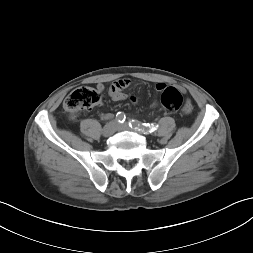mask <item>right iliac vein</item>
<instances>
[{"mask_svg":"<svg viewBox=\"0 0 253 253\" xmlns=\"http://www.w3.org/2000/svg\"><path fill=\"white\" fill-rule=\"evenodd\" d=\"M117 129H118V123L116 121H110L103 127L102 134L105 137H109L113 135Z\"/></svg>","mask_w":253,"mask_h":253,"instance_id":"63e3f726","label":"right iliac vein"}]
</instances>
